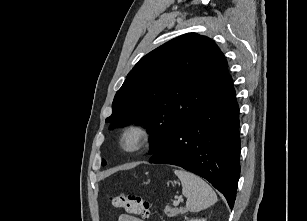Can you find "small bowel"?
<instances>
[{"instance_id":"obj_1","label":"small bowel","mask_w":307,"mask_h":221,"mask_svg":"<svg viewBox=\"0 0 307 221\" xmlns=\"http://www.w3.org/2000/svg\"><path fill=\"white\" fill-rule=\"evenodd\" d=\"M118 221H143V220L129 214H121L118 217Z\"/></svg>"}]
</instances>
